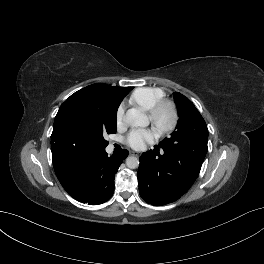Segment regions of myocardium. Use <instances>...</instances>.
Masks as SVG:
<instances>
[{
	"label": "myocardium",
	"instance_id": "1",
	"mask_svg": "<svg viewBox=\"0 0 264 264\" xmlns=\"http://www.w3.org/2000/svg\"><path fill=\"white\" fill-rule=\"evenodd\" d=\"M164 113L168 114L166 121L162 119ZM149 118L160 134H169L175 130L179 122L177 105L172 100L163 98L149 110Z\"/></svg>",
	"mask_w": 264,
	"mask_h": 264
}]
</instances>
